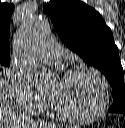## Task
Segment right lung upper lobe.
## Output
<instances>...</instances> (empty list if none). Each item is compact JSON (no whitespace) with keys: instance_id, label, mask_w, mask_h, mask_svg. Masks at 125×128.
Returning <instances> with one entry per match:
<instances>
[{"instance_id":"cb5924a9","label":"right lung upper lobe","mask_w":125,"mask_h":128,"mask_svg":"<svg viewBox=\"0 0 125 128\" xmlns=\"http://www.w3.org/2000/svg\"><path fill=\"white\" fill-rule=\"evenodd\" d=\"M14 5L0 2V59H10V20Z\"/></svg>"}]
</instances>
